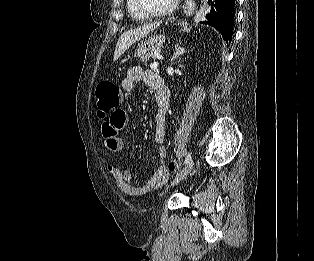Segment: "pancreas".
Instances as JSON below:
<instances>
[{"label": "pancreas", "instance_id": "1", "mask_svg": "<svg viewBox=\"0 0 314 261\" xmlns=\"http://www.w3.org/2000/svg\"><path fill=\"white\" fill-rule=\"evenodd\" d=\"M160 52H161L160 48L152 50L149 53H147L146 55H143L141 57V61L144 63L145 66H148V62L151 59H155V58H157V56H160Z\"/></svg>", "mask_w": 314, "mask_h": 261}]
</instances>
